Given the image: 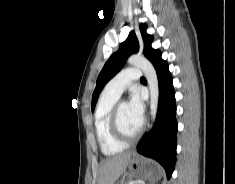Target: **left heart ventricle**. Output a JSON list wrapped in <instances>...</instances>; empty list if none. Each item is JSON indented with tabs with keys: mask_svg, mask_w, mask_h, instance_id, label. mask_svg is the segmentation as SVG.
Instances as JSON below:
<instances>
[{
	"mask_svg": "<svg viewBox=\"0 0 235 184\" xmlns=\"http://www.w3.org/2000/svg\"><path fill=\"white\" fill-rule=\"evenodd\" d=\"M119 122L123 132L128 136L136 135L142 125V122L132 116L126 103L120 105Z\"/></svg>",
	"mask_w": 235,
	"mask_h": 184,
	"instance_id": "left-heart-ventricle-1",
	"label": "left heart ventricle"
}]
</instances>
